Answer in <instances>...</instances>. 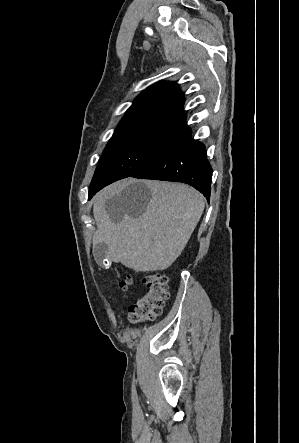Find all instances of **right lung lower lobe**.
I'll use <instances>...</instances> for the list:
<instances>
[{"instance_id":"1","label":"right lung lower lobe","mask_w":299,"mask_h":443,"mask_svg":"<svg viewBox=\"0 0 299 443\" xmlns=\"http://www.w3.org/2000/svg\"><path fill=\"white\" fill-rule=\"evenodd\" d=\"M184 125L182 134L175 142L130 177L186 183L209 199L212 169L205 146L192 139L191 129L186 122ZM95 193L89 195V199Z\"/></svg>"}]
</instances>
